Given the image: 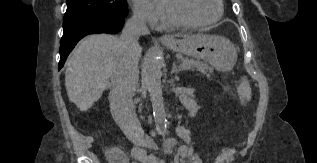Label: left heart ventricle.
Listing matches in <instances>:
<instances>
[{
	"label": "left heart ventricle",
	"mask_w": 317,
	"mask_h": 163,
	"mask_svg": "<svg viewBox=\"0 0 317 163\" xmlns=\"http://www.w3.org/2000/svg\"><path fill=\"white\" fill-rule=\"evenodd\" d=\"M172 1L180 16L189 21L210 20L217 16V0H165Z\"/></svg>",
	"instance_id": "b2bd125f"
}]
</instances>
